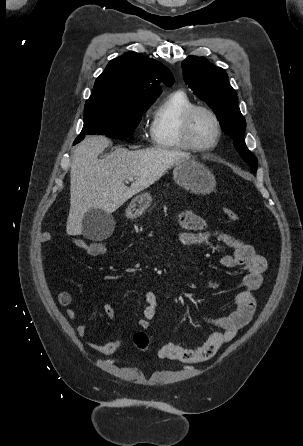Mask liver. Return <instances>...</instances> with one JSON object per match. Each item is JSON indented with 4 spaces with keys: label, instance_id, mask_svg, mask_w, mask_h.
Here are the masks:
<instances>
[{
    "label": "liver",
    "instance_id": "1",
    "mask_svg": "<svg viewBox=\"0 0 303 446\" xmlns=\"http://www.w3.org/2000/svg\"><path fill=\"white\" fill-rule=\"evenodd\" d=\"M110 144L104 136L85 138L75 149L70 170V211L66 232L82 233V221L90 209L110 214L136 193L149 187L189 154L166 149L129 151L119 147L104 159L98 156ZM134 177L130 187L125 180Z\"/></svg>",
    "mask_w": 303,
    "mask_h": 446
}]
</instances>
